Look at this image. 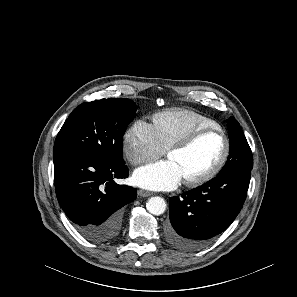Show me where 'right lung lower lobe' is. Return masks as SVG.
I'll list each match as a JSON object with an SVG mask.
<instances>
[{
	"label": "right lung lower lobe",
	"mask_w": 297,
	"mask_h": 297,
	"mask_svg": "<svg viewBox=\"0 0 297 297\" xmlns=\"http://www.w3.org/2000/svg\"><path fill=\"white\" fill-rule=\"evenodd\" d=\"M53 160L56 196L76 230L93 242L115 238L122 207L137 196L136 189L114 182L128 177L125 163L75 152L55 154Z\"/></svg>",
	"instance_id": "right-lung-lower-lobe-1"
}]
</instances>
